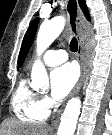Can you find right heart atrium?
<instances>
[{
  "mask_svg": "<svg viewBox=\"0 0 112 135\" xmlns=\"http://www.w3.org/2000/svg\"><path fill=\"white\" fill-rule=\"evenodd\" d=\"M42 102H43L44 106H45L47 109L50 108L51 105H52L51 99H50L49 97H47V96H43V97H42Z\"/></svg>",
  "mask_w": 112,
  "mask_h": 135,
  "instance_id": "obj_1",
  "label": "right heart atrium"
}]
</instances>
